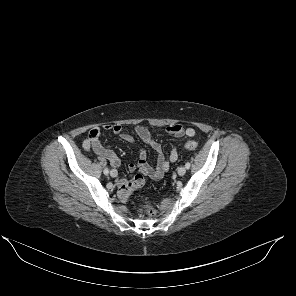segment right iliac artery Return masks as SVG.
<instances>
[{
  "mask_svg": "<svg viewBox=\"0 0 296 296\" xmlns=\"http://www.w3.org/2000/svg\"><path fill=\"white\" fill-rule=\"evenodd\" d=\"M103 172H104L105 175H108V173H109L108 168H105Z\"/></svg>",
  "mask_w": 296,
  "mask_h": 296,
  "instance_id": "obj_1",
  "label": "right iliac artery"
}]
</instances>
